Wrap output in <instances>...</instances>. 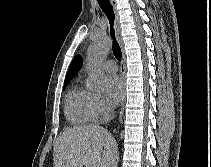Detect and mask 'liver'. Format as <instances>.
I'll return each instance as SVG.
<instances>
[{
    "mask_svg": "<svg viewBox=\"0 0 211 167\" xmlns=\"http://www.w3.org/2000/svg\"><path fill=\"white\" fill-rule=\"evenodd\" d=\"M117 157L112 135L98 125L74 127L57 139L53 167H111Z\"/></svg>",
    "mask_w": 211,
    "mask_h": 167,
    "instance_id": "obj_1",
    "label": "liver"
}]
</instances>
